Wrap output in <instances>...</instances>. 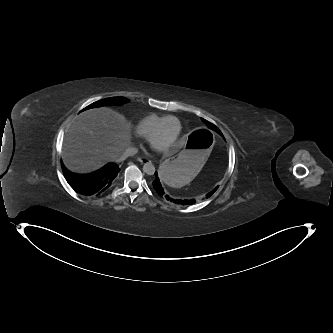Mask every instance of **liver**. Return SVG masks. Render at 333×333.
Returning a JSON list of instances; mask_svg holds the SVG:
<instances>
[{
	"mask_svg": "<svg viewBox=\"0 0 333 333\" xmlns=\"http://www.w3.org/2000/svg\"><path fill=\"white\" fill-rule=\"evenodd\" d=\"M131 125L110 108L90 109L76 116L69 125L63 144L68 169L88 173L115 161L130 145Z\"/></svg>",
	"mask_w": 333,
	"mask_h": 333,
	"instance_id": "liver-1",
	"label": "liver"
}]
</instances>
